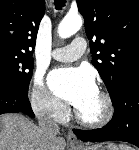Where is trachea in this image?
<instances>
[{
	"label": "trachea",
	"instance_id": "1",
	"mask_svg": "<svg viewBox=\"0 0 139 150\" xmlns=\"http://www.w3.org/2000/svg\"><path fill=\"white\" fill-rule=\"evenodd\" d=\"M55 6L57 10H60L63 6H65L66 0H54Z\"/></svg>",
	"mask_w": 139,
	"mask_h": 150
}]
</instances>
